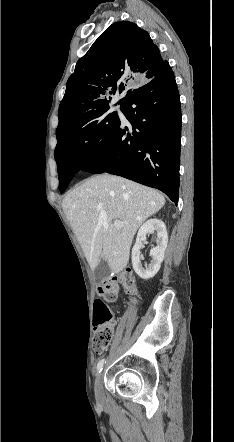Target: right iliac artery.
<instances>
[{
    "instance_id": "right-iliac-artery-1",
    "label": "right iliac artery",
    "mask_w": 234,
    "mask_h": 442,
    "mask_svg": "<svg viewBox=\"0 0 234 442\" xmlns=\"http://www.w3.org/2000/svg\"><path fill=\"white\" fill-rule=\"evenodd\" d=\"M104 363H105V359H102V360H100V361L98 362V364H97V371H98V372H101Z\"/></svg>"
}]
</instances>
